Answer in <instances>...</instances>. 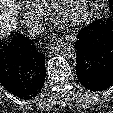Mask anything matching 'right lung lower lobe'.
Instances as JSON below:
<instances>
[{"instance_id":"obj_1","label":"right lung lower lobe","mask_w":113,"mask_h":113,"mask_svg":"<svg viewBox=\"0 0 113 113\" xmlns=\"http://www.w3.org/2000/svg\"><path fill=\"white\" fill-rule=\"evenodd\" d=\"M45 54L34 39L15 33L0 39V83L20 99H32L43 88Z\"/></svg>"}]
</instances>
